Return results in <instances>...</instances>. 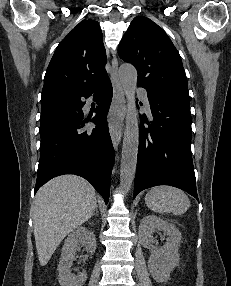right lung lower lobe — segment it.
<instances>
[{"instance_id": "1", "label": "right lung lower lobe", "mask_w": 231, "mask_h": 286, "mask_svg": "<svg viewBox=\"0 0 231 286\" xmlns=\"http://www.w3.org/2000/svg\"><path fill=\"white\" fill-rule=\"evenodd\" d=\"M100 103L91 120L92 131H84L82 100L91 95ZM110 80L85 91L65 104L69 112L41 122L40 161L35 192L53 177L75 174L87 179L108 202L111 171L115 159L106 115L112 99Z\"/></svg>"}]
</instances>
